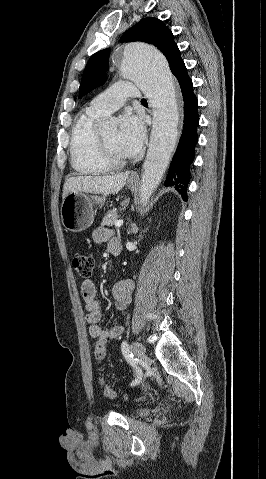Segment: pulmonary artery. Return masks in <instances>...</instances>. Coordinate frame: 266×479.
Here are the masks:
<instances>
[{
	"label": "pulmonary artery",
	"mask_w": 266,
	"mask_h": 479,
	"mask_svg": "<svg viewBox=\"0 0 266 479\" xmlns=\"http://www.w3.org/2000/svg\"><path fill=\"white\" fill-rule=\"evenodd\" d=\"M140 91L135 84L120 81L98 94L88 105V109L100 115H108L118 110L127 98H139Z\"/></svg>",
	"instance_id": "obj_1"
}]
</instances>
